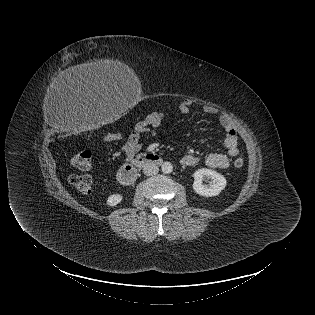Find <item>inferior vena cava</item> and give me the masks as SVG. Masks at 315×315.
<instances>
[{
  "label": "inferior vena cava",
  "mask_w": 315,
  "mask_h": 315,
  "mask_svg": "<svg viewBox=\"0 0 315 315\" xmlns=\"http://www.w3.org/2000/svg\"><path fill=\"white\" fill-rule=\"evenodd\" d=\"M159 171L158 166L154 163H146L143 167V173L147 176H152L157 174Z\"/></svg>",
  "instance_id": "obj_1"
}]
</instances>
